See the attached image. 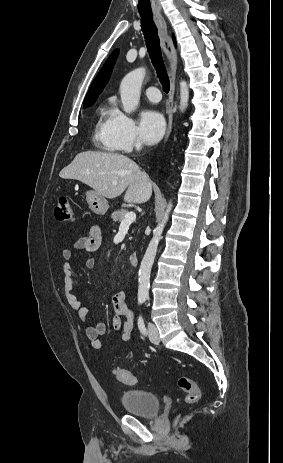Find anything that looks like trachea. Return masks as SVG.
Instances as JSON below:
<instances>
[{"instance_id": "1", "label": "trachea", "mask_w": 283, "mask_h": 463, "mask_svg": "<svg viewBox=\"0 0 283 463\" xmlns=\"http://www.w3.org/2000/svg\"><path fill=\"white\" fill-rule=\"evenodd\" d=\"M141 28L144 34L146 46L151 58V61L157 71V76L163 86L165 93L170 90V82L163 62L160 39L158 36L157 27L153 21L152 15L141 14Z\"/></svg>"}]
</instances>
